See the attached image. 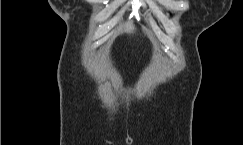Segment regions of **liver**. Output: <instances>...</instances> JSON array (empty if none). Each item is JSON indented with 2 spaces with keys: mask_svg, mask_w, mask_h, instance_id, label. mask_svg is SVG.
Here are the masks:
<instances>
[{
  "mask_svg": "<svg viewBox=\"0 0 243 145\" xmlns=\"http://www.w3.org/2000/svg\"><path fill=\"white\" fill-rule=\"evenodd\" d=\"M134 31H135V26L132 23L131 24H129V23L125 24L124 32L133 33Z\"/></svg>",
  "mask_w": 243,
  "mask_h": 145,
  "instance_id": "1",
  "label": "liver"
}]
</instances>
